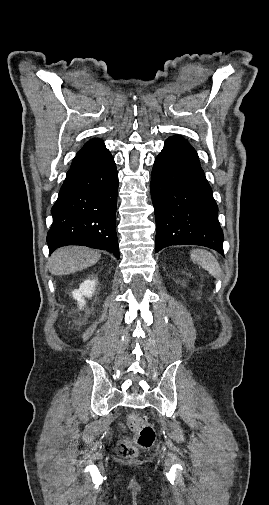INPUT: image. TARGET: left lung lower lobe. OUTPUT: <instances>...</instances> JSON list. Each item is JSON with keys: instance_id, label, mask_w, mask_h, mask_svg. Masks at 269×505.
Here are the masks:
<instances>
[{"instance_id": "obj_1", "label": "left lung lower lobe", "mask_w": 269, "mask_h": 505, "mask_svg": "<svg viewBox=\"0 0 269 505\" xmlns=\"http://www.w3.org/2000/svg\"><path fill=\"white\" fill-rule=\"evenodd\" d=\"M156 219L155 252L171 245H200L223 254V232L212 189L197 152L179 136L169 137L151 175Z\"/></svg>"}]
</instances>
